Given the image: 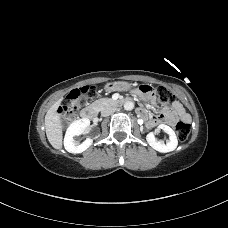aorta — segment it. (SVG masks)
I'll return each mask as SVG.
<instances>
[{
  "label": "aorta",
  "instance_id": "1",
  "mask_svg": "<svg viewBox=\"0 0 228 228\" xmlns=\"http://www.w3.org/2000/svg\"><path fill=\"white\" fill-rule=\"evenodd\" d=\"M134 108V103L131 101H127L124 103V109L127 111H131Z\"/></svg>",
  "mask_w": 228,
  "mask_h": 228
}]
</instances>
